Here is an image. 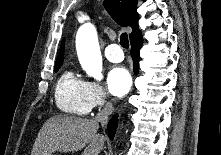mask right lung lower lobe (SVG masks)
Returning <instances> with one entry per match:
<instances>
[{"instance_id": "98d812e1", "label": "right lung lower lobe", "mask_w": 221, "mask_h": 155, "mask_svg": "<svg viewBox=\"0 0 221 155\" xmlns=\"http://www.w3.org/2000/svg\"><path fill=\"white\" fill-rule=\"evenodd\" d=\"M131 41V56L134 63V73L137 74L139 72V54H140V48L142 45L143 37L141 35V32L136 34ZM117 115L114 116L108 123V134L110 139H113L115 130L117 127Z\"/></svg>"}]
</instances>
